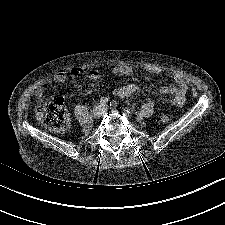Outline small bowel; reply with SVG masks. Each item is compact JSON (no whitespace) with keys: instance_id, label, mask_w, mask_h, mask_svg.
Here are the masks:
<instances>
[{"instance_id":"c3829d8e","label":"small bowel","mask_w":225,"mask_h":225,"mask_svg":"<svg viewBox=\"0 0 225 225\" xmlns=\"http://www.w3.org/2000/svg\"><path fill=\"white\" fill-rule=\"evenodd\" d=\"M83 72L79 67H72L69 70H58L54 73L52 79L56 83H62L66 80L68 75L78 76ZM153 73H158V70H153ZM132 73V69L127 65H120L114 69V74L118 76H129ZM90 80L96 81L100 78V73L97 70H90L86 73ZM175 86H162L160 92L162 94L172 93L174 95L173 103L175 106L180 107L185 102V95L187 87L180 76L175 78ZM138 91V86L135 84H127L119 86L114 89V95L120 98H126ZM45 95V86L40 84L35 90V97L39 103H42Z\"/></svg>"}]
</instances>
